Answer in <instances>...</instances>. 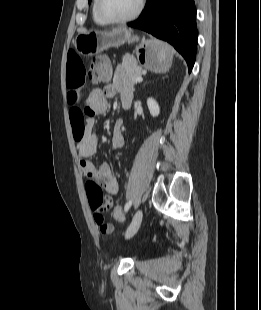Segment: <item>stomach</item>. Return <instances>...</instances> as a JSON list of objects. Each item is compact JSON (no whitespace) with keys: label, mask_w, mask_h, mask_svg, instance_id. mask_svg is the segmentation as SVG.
<instances>
[{"label":"stomach","mask_w":261,"mask_h":310,"mask_svg":"<svg viewBox=\"0 0 261 310\" xmlns=\"http://www.w3.org/2000/svg\"><path fill=\"white\" fill-rule=\"evenodd\" d=\"M138 42L136 56L141 67L155 73L167 72L173 60L172 48L156 39H140L125 27L112 31H88L75 38L76 50L86 56L96 55L110 47H120L124 43Z\"/></svg>","instance_id":"1"}]
</instances>
